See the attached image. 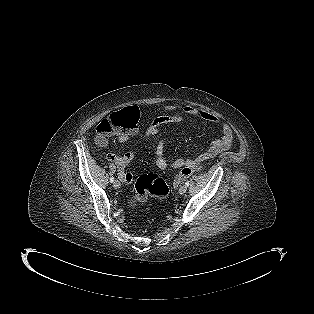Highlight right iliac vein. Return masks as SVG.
Wrapping results in <instances>:
<instances>
[{
	"label": "right iliac vein",
	"mask_w": 314,
	"mask_h": 314,
	"mask_svg": "<svg viewBox=\"0 0 314 314\" xmlns=\"http://www.w3.org/2000/svg\"><path fill=\"white\" fill-rule=\"evenodd\" d=\"M113 186L115 189H118V188H120L121 183L118 180H116V181H114Z\"/></svg>",
	"instance_id": "63e3f726"
}]
</instances>
